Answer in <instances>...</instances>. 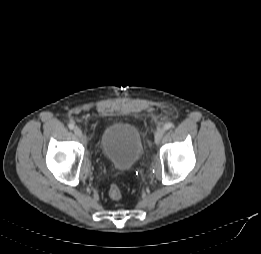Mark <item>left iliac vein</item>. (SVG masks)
<instances>
[{
    "label": "left iliac vein",
    "instance_id": "obj_1",
    "mask_svg": "<svg viewBox=\"0 0 261 254\" xmlns=\"http://www.w3.org/2000/svg\"><path fill=\"white\" fill-rule=\"evenodd\" d=\"M164 132H165V130L163 128L157 130V132L155 133V136H154V141L156 144H158L160 142L161 138L164 135Z\"/></svg>",
    "mask_w": 261,
    "mask_h": 254
}]
</instances>
